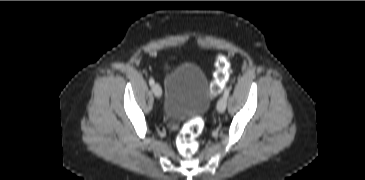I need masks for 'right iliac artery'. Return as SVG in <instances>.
I'll use <instances>...</instances> for the list:
<instances>
[{
	"instance_id": "82829eb1",
	"label": "right iliac artery",
	"mask_w": 365,
	"mask_h": 180,
	"mask_svg": "<svg viewBox=\"0 0 365 180\" xmlns=\"http://www.w3.org/2000/svg\"><path fill=\"white\" fill-rule=\"evenodd\" d=\"M154 83H155L154 79H153V78H150V79H149V84H150L151 86H153V85H154Z\"/></svg>"
}]
</instances>
